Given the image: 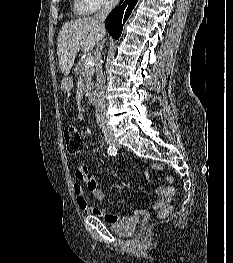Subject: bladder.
<instances>
[{
    "label": "bladder",
    "instance_id": "obj_1",
    "mask_svg": "<svg viewBox=\"0 0 233 263\" xmlns=\"http://www.w3.org/2000/svg\"><path fill=\"white\" fill-rule=\"evenodd\" d=\"M138 218L135 216H126L117 222L110 224L111 231L121 237L131 236L136 230Z\"/></svg>",
    "mask_w": 233,
    "mask_h": 263
}]
</instances>
